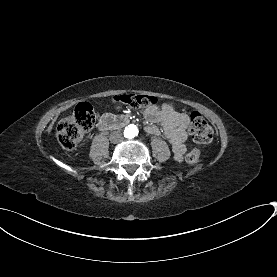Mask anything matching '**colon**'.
<instances>
[{"label": "colon", "mask_w": 277, "mask_h": 277, "mask_svg": "<svg viewBox=\"0 0 277 277\" xmlns=\"http://www.w3.org/2000/svg\"><path fill=\"white\" fill-rule=\"evenodd\" d=\"M112 103L120 108L130 106L133 109L151 106L155 99L149 95L122 94L112 98ZM91 99H78L75 111L65 116L56 128V139L63 149L73 150L78 147L82 137L94 125L95 111L91 109ZM189 135L199 143H210L214 132L207 121L195 113L190 118ZM200 150L194 149L186 155V162L196 164L200 160Z\"/></svg>", "instance_id": "obj_1"}]
</instances>
